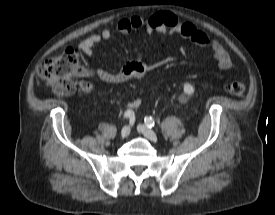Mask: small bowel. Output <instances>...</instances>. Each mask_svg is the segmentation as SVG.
Listing matches in <instances>:
<instances>
[{"mask_svg":"<svg viewBox=\"0 0 275 215\" xmlns=\"http://www.w3.org/2000/svg\"><path fill=\"white\" fill-rule=\"evenodd\" d=\"M144 28L148 33L159 32L161 34L177 33L182 38L206 48L215 58L217 65L222 70L232 67V59L225 48L213 36L199 30L191 22H181L175 15L167 12L156 13L151 16H133L122 18L117 23V29L122 34L132 30ZM112 31L108 28L100 33L93 34L84 39L79 48L87 55L94 54V47L102 41L109 40ZM152 70V66L146 63L141 55L133 61L126 63L119 72H111L104 68H95L91 73L101 81L108 84H117L132 79H141ZM140 99L129 102L127 108H138Z\"/></svg>","mask_w":275,"mask_h":215,"instance_id":"obj_1","label":"small bowel"}]
</instances>
